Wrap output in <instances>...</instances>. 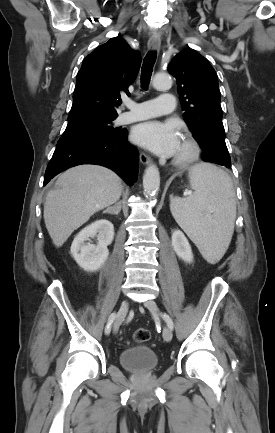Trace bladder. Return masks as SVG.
I'll use <instances>...</instances> for the list:
<instances>
[{
	"label": "bladder",
	"mask_w": 275,
	"mask_h": 433,
	"mask_svg": "<svg viewBox=\"0 0 275 433\" xmlns=\"http://www.w3.org/2000/svg\"><path fill=\"white\" fill-rule=\"evenodd\" d=\"M158 356L147 345H132L123 349L119 354L120 365L131 372L143 373L156 369Z\"/></svg>",
	"instance_id": "obj_1"
}]
</instances>
